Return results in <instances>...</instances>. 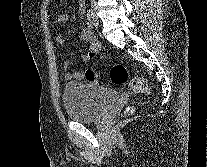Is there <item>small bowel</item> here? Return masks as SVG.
<instances>
[{
    "mask_svg": "<svg viewBox=\"0 0 207 167\" xmlns=\"http://www.w3.org/2000/svg\"><path fill=\"white\" fill-rule=\"evenodd\" d=\"M83 13H84V3L80 1L78 7V14L80 19L83 18ZM68 19H69L68 15L63 14V15L56 16L55 21L58 24H65L68 21ZM80 38L88 43V48L86 52L81 55V59L85 62L91 61L99 50V44L95 39L93 33L88 29H83L81 31ZM56 41L60 46L64 47V39L61 35H57ZM63 69L65 72L66 80H80L84 78V72L80 70L71 71L69 69V58L67 53L64 54Z\"/></svg>",
    "mask_w": 207,
    "mask_h": 167,
    "instance_id": "obj_1",
    "label": "small bowel"
}]
</instances>
